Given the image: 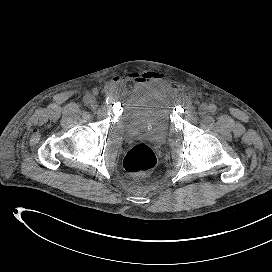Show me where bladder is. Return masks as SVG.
I'll return each mask as SVG.
<instances>
[{"label":"bladder","mask_w":272,"mask_h":272,"mask_svg":"<svg viewBox=\"0 0 272 272\" xmlns=\"http://www.w3.org/2000/svg\"><path fill=\"white\" fill-rule=\"evenodd\" d=\"M128 138L163 143L169 136L171 119L164 101L149 97L129 104L121 117Z\"/></svg>","instance_id":"bladder-1"}]
</instances>
